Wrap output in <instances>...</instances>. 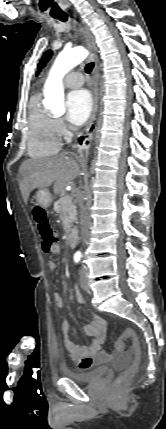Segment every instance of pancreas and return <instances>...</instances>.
<instances>
[{"instance_id": "1", "label": "pancreas", "mask_w": 166, "mask_h": 429, "mask_svg": "<svg viewBox=\"0 0 166 429\" xmlns=\"http://www.w3.org/2000/svg\"><path fill=\"white\" fill-rule=\"evenodd\" d=\"M66 199L67 196H63L57 200L54 204V210L56 213L60 214L61 217L68 218L70 224H74L76 222V206L72 199L69 201Z\"/></svg>"}]
</instances>
